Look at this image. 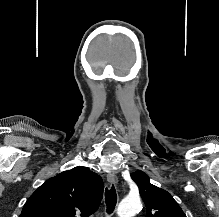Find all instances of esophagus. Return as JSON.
I'll return each instance as SVG.
<instances>
[{
  "label": "esophagus",
  "mask_w": 219,
  "mask_h": 217,
  "mask_svg": "<svg viewBox=\"0 0 219 217\" xmlns=\"http://www.w3.org/2000/svg\"><path fill=\"white\" fill-rule=\"evenodd\" d=\"M107 182L109 185L116 184L118 182V178L114 173H109L107 175Z\"/></svg>",
  "instance_id": "1"
}]
</instances>
